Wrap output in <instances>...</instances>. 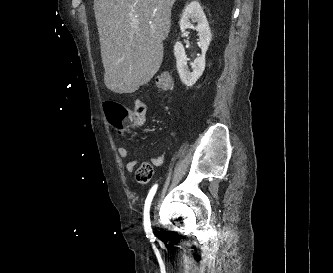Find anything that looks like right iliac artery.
Wrapping results in <instances>:
<instances>
[{
    "label": "right iliac artery",
    "instance_id": "right-iliac-artery-1",
    "mask_svg": "<svg viewBox=\"0 0 333 273\" xmlns=\"http://www.w3.org/2000/svg\"><path fill=\"white\" fill-rule=\"evenodd\" d=\"M157 184H155L149 191L148 196L145 200V205H144V230L146 233L147 238L149 239H153L154 238V234L152 232V228H151V222H150V206H151V202L152 199L156 193L157 190Z\"/></svg>",
    "mask_w": 333,
    "mask_h": 273
}]
</instances>
